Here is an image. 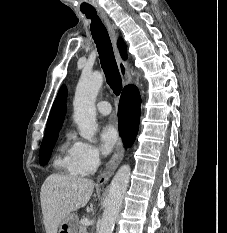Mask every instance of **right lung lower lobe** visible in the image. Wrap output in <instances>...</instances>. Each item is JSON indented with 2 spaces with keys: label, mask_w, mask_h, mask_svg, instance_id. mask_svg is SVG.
<instances>
[{
  "label": "right lung lower lobe",
  "mask_w": 227,
  "mask_h": 233,
  "mask_svg": "<svg viewBox=\"0 0 227 233\" xmlns=\"http://www.w3.org/2000/svg\"><path fill=\"white\" fill-rule=\"evenodd\" d=\"M135 86L124 88L118 109L119 132L125 147H130L137 135L139 126L140 104L134 101Z\"/></svg>",
  "instance_id": "98d812e1"
}]
</instances>
